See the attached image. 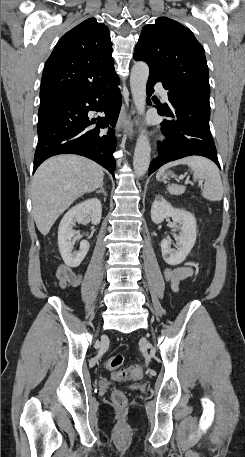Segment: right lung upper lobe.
<instances>
[{"label":"right lung upper lobe","instance_id":"right-lung-upper-lobe-1","mask_svg":"<svg viewBox=\"0 0 245 457\" xmlns=\"http://www.w3.org/2000/svg\"><path fill=\"white\" fill-rule=\"evenodd\" d=\"M106 25L89 18L67 32L46 61L40 104L117 77Z\"/></svg>","mask_w":245,"mask_h":457}]
</instances>
